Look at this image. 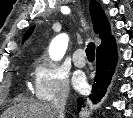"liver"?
Instances as JSON below:
<instances>
[{
  "label": "liver",
  "mask_w": 133,
  "mask_h": 118,
  "mask_svg": "<svg viewBox=\"0 0 133 118\" xmlns=\"http://www.w3.org/2000/svg\"><path fill=\"white\" fill-rule=\"evenodd\" d=\"M1 118H54L51 106L42 103L18 104L2 114Z\"/></svg>",
  "instance_id": "1"
}]
</instances>
